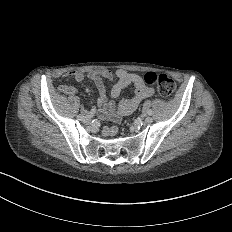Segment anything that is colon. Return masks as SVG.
Instances as JSON below:
<instances>
[{"label": "colon", "instance_id": "5ec220e1", "mask_svg": "<svg viewBox=\"0 0 232 232\" xmlns=\"http://www.w3.org/2000/svg\"><path fill=\"white\" fill-rule=\"evenodd\" d=\"M145 81L156 86V91H161L160 98H173L175 81H171L165 74L151 71L145 76Z\"/></svg>", "mask_w": 232, "mask_h": 232}]
</instances>
